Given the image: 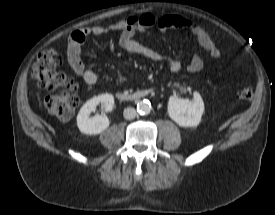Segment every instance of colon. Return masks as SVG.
I'll return each instance as SVG.
<instances>
[{"label":"colon","mask_w":275,"mask_h":215,"mask_svg":"<svg viewBox=\"0 0 275 215\" xmlns=\"http://www.w3.org/2000/svg\"><path fill=\"white\" fill-rule=\"evenodd\" d=\"M61 63L62 57L57 51H43L33 65L32 75L42 88L53 91L44 98L47 111L59 120L67 121L74 115L80 96L78 84L57 70ZM253 95L254 91L250 86L239 91V98L242 100H250Z\"/></svg>","instance_id":"obj_1"}]
</instances>
